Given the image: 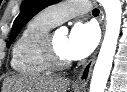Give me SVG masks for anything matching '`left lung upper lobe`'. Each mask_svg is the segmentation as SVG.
I'll return each instance as SVG.
<instances>
[{
  "instance_id": "left-lung-upper-lobe-1",
  "label": "left lung upper lobe",
  "mask_w": 127,
  "mask_h": 92,
  "mask_svg": "<svg viewBox=\"0 0 127 92\" xmlns=\"http://www.w3.org/2000/svg\"><path fill=\"white\" fill-rule=\"evenodd\" d=\"M60 0H25L22 4L21 11L13 23L10 34L9 46L16 38L17 34L25 24L34 17L38 12L47 6L55 4Z\"/></svg>"
}]
</instances>
